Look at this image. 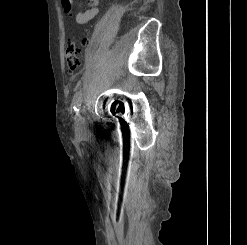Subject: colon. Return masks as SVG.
<instances>
[{
    "instance_id": "5ec220e1",
    "label": "colon",
    "mask_w": 247,
    "mask_h": 245,
    "mask_svg": "<svg viewBox=\"0 0 247 245\" xmlns=\"http://www.w3.org/2000/svg\"><path fill=\"white\" fill-rule=\"evenodd\" d=\"M89 44V38H82L80 44L72 37L67 38V46L65 50V59L67 69L70 73L78 71L82 64L84 49Z\"/></svg>"
}]
</instances>
